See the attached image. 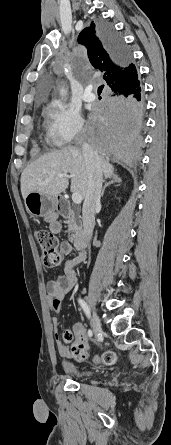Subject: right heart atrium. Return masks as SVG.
<instances>
[{
  "label": "right heart atrium",
  "mask_w": 171,
  "mask_h": 445,
  "mask_svg": "<svg viewBox=\"0 0 171 445\" xmlns=\"http://www.w3.org/2000/svg\"><path fill=\"white\" fill-rule=\"evenodd\" d=\"M51 129L58 144H70L83 134L84 121L78 110L58 104L51 110Z\"/></svg>",
  "instance_id": "obj_1"
}]
</instances>
